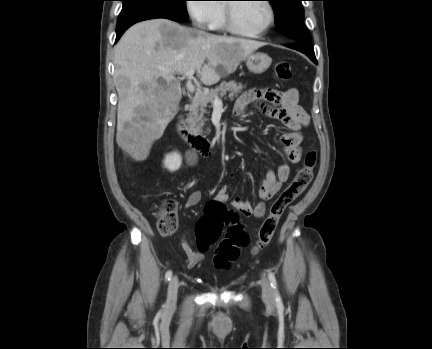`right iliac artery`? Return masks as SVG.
I'll list each match as a JSON object with an SVG mask.
<instances>
[{
    "mask_svg": "<svg viewBox=\"0 0 432 349\" xmlns=\"http://www.w3.org/2000/svg\"><path fill=\"white\" fill-rule=\"evenodd\" d=\"M171 277H172V271L169 270L165 274V280L169 281L171 279Z\"/></svg>",
    "mask_w": 432,
    "mask_h": 349,
    "instance_id": "obj_1",
    "label": "right iliac artery"
}]
</instances>
